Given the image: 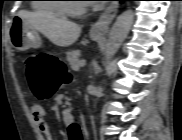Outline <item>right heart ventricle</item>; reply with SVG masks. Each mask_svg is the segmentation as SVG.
Here are the masks:
<instances>
[{
	"instance_id": "1",
	"label": "right heart ventricle",
	"mask_w": 182,
	"mask_h": 140,
	"mask_svg": "<svg viewBox=\"0 0 182 140\" xmlns=\"http://www.w3.org/2000/svg\"><path fill=\"white\" fill-rule=\"evenodd\" d=\"M62 0H33L31 7L33 10L45 14L63 16L65 11L62 7Z\"/></svg>"
}]
</instances>
